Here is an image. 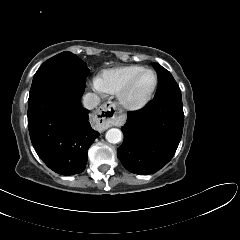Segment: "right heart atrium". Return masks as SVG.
I'll use <instances>...</instances> for the list:
<instances>
[{
    "label": "right heart atrium",
    "mask_w": 240,
    "mask_h": 240,
    "mask_svg": "<svg viewBox=\"0 0 240 240\" xmlns=\"http://www.w3.org/2000/svg\"><path fill=\"white\" fill-rule=\"evenodd\" d=\"M95 86L98 88L97 83L95 82Z\"/></svg>",
    "instance_id": "right-heart-atrium-1"
}]
</instances>
